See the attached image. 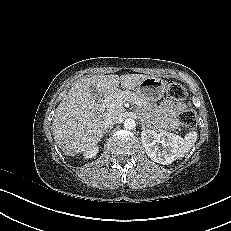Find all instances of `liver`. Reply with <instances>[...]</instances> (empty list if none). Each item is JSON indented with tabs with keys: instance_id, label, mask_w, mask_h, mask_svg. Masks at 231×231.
I'll use <instances>...</instances> for the list:
<instances>
[{
	"instance_id": "6515ba94",
	"label": "liver",
	"mask_w": 231,
	"mask_h": 231,
	"mask_svg": "<svg viewBox=\"0 0 231 231\" xmlns=\"http://www.w3.org/2000/svg\"><path fill=\"white\" fill-rule=\"evenodd\" d=\"M147 77L143 74L95 75L74 84L58 105L52 122L54 139L63 153L67 156L84 153L102 138L104 117L91 94V86L100 95H115L120 92L119 84L122 89L129 91Z\"/></svg>"
}]
</instances>
